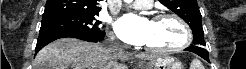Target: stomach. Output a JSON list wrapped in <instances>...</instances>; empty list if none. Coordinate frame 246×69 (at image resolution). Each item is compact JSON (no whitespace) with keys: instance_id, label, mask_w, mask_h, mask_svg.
Listing matches in <instances>:
<instances>
[{"instance_id":"obj_1","label":"stomach","mask_w":246,"mask_h":69,"mask_svg":"<svg viewBox=\"0 0 246 69\" xmlns=\"http://www.w3.org/2000/svg\"><path fill=\"white\" fill-rule=\"evenodd\" d=\"M139 69H184L173 57H158L149 62L139 63Z\"/></svg>"}]
</instances>
